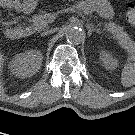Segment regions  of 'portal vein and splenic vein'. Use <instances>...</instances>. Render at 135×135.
Wrapping results in <instances>:
<instances>
[{"label":"portal vein and splenic vein","mask_w":135,"mask_h":135,"mask_svg":"<svg viewBox=\"0 0 135 135\" xmlns=\"http://www.w3.org/2000/svg\"><path fill=\"white\" fill-rule=\"evenodd\" d=\"M68 11H70V12H72V13H76V14H78L79 16H81L82 18H84V15H83L81 12H79L78 10L69 9ZM54 17H55L54 15H52V16L50 17V21H51V22L53 21Z\"/></svg>","instance_id":"1"}]
</instances>
